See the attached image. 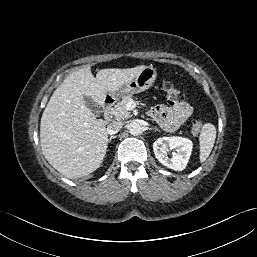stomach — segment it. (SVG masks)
<instances>
[{
  "mask_svg": "<svg viewBox=\"0 0 257 257\" xmlns=\"http://www.w3.org/2000/svg\"><path fill=\"white\" fill-rule=\"evenodd\" d=\"M156 77V69L152 65L145 66L135 78L122 85L117 91L112 92V96L132 95L145 91L153 85Z\"/></svg>",
  "mask_w": 257,
  "mask_h": 257,
  "instance_id": "stomach-1",
  "label": "stomach"
}]
</instances>
